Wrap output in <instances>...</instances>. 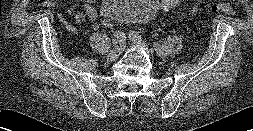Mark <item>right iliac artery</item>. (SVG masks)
Instances as JSON below:
<instances>
[{
    "label": "right iliac artery",
    "mask_w": 253,
    "mask_h": 131,
    "mask_svg": "<svg viewBox=\"0 0 253 131\" xmlns=\"http://www.w3.org/2000/svg\"><path fill=\"white\" fill-rule=\"evenodd\" d=\"M114 36L117 39V41L124 43V41H125V34L122 31H116L114 33Z\"/></svg>",
    "instance_id": "right-iliac-artery-1"
}]
</instances>
